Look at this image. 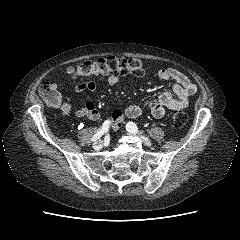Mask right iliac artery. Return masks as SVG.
Masks as SVG:
<instances>
[{"label":"right iliac artery","instance_id":"82829eb1","mask_svg":"<svg viewBox=\"0 0 240 240\" xmlns=\"http://www.w3.org/2000/svg\"><path fill=\"white\" fill-rule=\"evenodd\" d=\"M110 123H111L110 120L104 121L102 127L94 134L91 141L98 140L105 132H107L109 129Z\"/></svg>","mask_w":240,"mask_h":240}]
</instances>
